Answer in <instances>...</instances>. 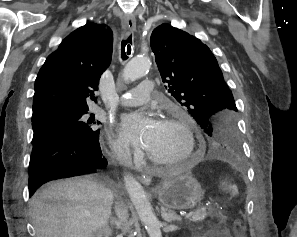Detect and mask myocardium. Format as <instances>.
Listing matches in <instances>:
<instances>
[{
	"mask_svg": "<svg viewBox=\"0 0 297 237\" xmlns=\"http://www.w3.org/2000/svg\"><path fill=\"white\" fill-rule=\"evenodd\" d=\"M163 123L172 124L180 128L186 138V147L180 156L173 159H159L149 151H146L147 158L155 165L168 166L185 162L191 158L196 151V138L192 128L191 121L184 114H172L162 119Z\"/></svg>",
	"mask_w": 297,
	"mask_h": 237,
	"instance_id": "obj_1",
	"label": "myocardium"
}]
</instances>
